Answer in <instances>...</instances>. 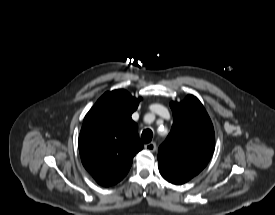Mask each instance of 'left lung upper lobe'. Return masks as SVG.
I'll return each instance as SVG.
<instances>
[{"mask_svg":"<svg viewBox=\"0 0 275 215\" xmlns=\"http://www.w3.org/2000/svg\"><path fill=\"white\" fill-rule=\"evenodd\" d=\"M173 125L165 142L159 147L161 175L170 183L184 184L208 164L215 147L212 122L193 95L184 101L171 102Z\"/></svg>","mask_w":275,"mask_h":215,"instance_id":"obj_1","label":"left lung upper lobe"}]
</instances>
